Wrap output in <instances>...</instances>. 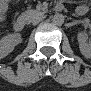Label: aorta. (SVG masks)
I'll return each mask as SVG.
<instances>
[{
  "label": "aorta",
  "instance_id": "obj_1",
  "mask_svg": "<svg viewBox=\"0 0 91 91\" xmlns=\"http://www.w3.org/2000/svg\"><path fill=\"white\" fill-rule=\"evenodd\" d=\"M64 20V16L60 13L55 14L52 19L53 23L57 26H61L64 23Z\"/></svg>",
  "mask_w": 91,
  "mask_h": 91
}]
</instances>
